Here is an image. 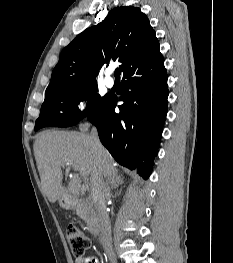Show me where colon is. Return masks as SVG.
<instances>
[{"mask_svg": "<svg viewBox=\"0 0 233 263\" xmlns=\"http://www.w3.org/2000/svg\"><path fill=\"white\" fill-rule=\"evenodd\" d=\"M66 236L73 256L77 259L84 258L91 245L88 236L75 226H69L67 228Z\"/></svg>", "mask_w": 233, "mask_h": 263, "instance_id": "1", "label": "colon"}]
</instances>
